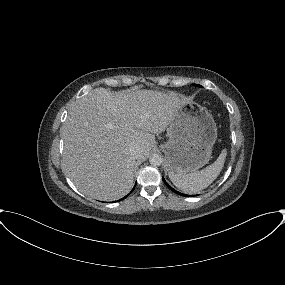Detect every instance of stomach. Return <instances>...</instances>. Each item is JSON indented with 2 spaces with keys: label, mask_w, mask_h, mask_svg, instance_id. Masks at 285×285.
<instances>
[{
  "label": "stomach",
  "mask_w": 285,
  "mask_h": 285,
  "mask_svg": "<svg viewBox=\"0 0 285 285\" xmlns=\"http://www.w3.org/2000/svg\"><path fill=\"white\" fill-rule=\"evenodd\" d=\"M169 140L161 145L168 172L188 174L206 165L217 139L212 115L196 103H186L176 110L167 129Z\"/></svg>",
  "instance_id": "obj_1"
}]
</instances>
